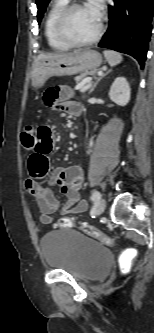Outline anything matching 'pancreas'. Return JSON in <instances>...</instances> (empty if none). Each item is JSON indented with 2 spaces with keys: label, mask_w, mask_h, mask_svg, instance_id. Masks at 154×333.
<instances>
[{
  "label": "pancreas",
  "mask_w": 154,
  "mask_h": 333,
  "mask_svg": "<svg viewBox=\"0 0 154 333\" xmlns=\"http://www.w3.org/2000/svg\"><path fill=\"white\" fill-rule=\"evenodd\" d=\"M96 74V70H92V71H85L83 73H81L79 76H77L75 78L76 83H80L81 81H83L84 79H86L87 76H93Z\"/></svg>",
  "instance_id": "pancreas-1"
}]
</instances>
